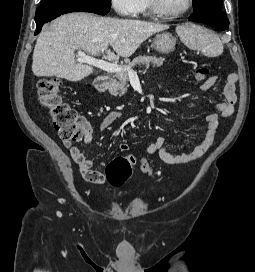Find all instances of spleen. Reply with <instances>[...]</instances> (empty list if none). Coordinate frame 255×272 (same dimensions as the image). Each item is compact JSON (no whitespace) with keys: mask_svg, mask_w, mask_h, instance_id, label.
<instances>
[{"mask_svg":"<svg viewBox=\"0 0 255 272\" xmlns=\"http://www.w3.org/2000/svg\"><path fill=\"white\" fill-rule=\"evenodd\" d=\"M176 32L188 48L200 50L208 57H216L223 52V44L220 38L203 26L185 24L178 26Z\"/></svg>","mask_w":255,"mask_h":272,"instance_id":"obj_1","label":"spleen"}]
</instances>
